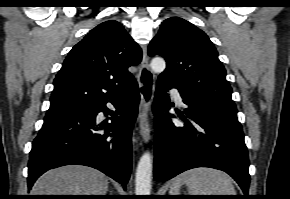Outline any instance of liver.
Listing matches in <instances>:
<instances>
[{
  "mask_svg": "<svg viewBox=\"0 0 290 199\" xmlns=\"http://www.w3.org/2000/svg\"><path fill=\"white\" fill-rule=\"evenodd\" d=\"M108 178L86 166H64L43 174L32 188L33 195H106Z\"/></svg>",
  "mask_w": 290,
  "mask_h": 199,
  "instance_id": "liver-1",
  "label": "liver"
}]
</instances>
